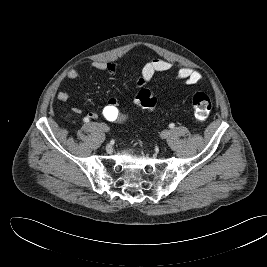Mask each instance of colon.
Wrapping results in <instances>:
<instances>
[{
    "instance_id": "obj_1",
    "label": "colon",
    "mask_w": 267,
    "mask_h": 267,
    "mask_svg": "<svg viewBox=\"0 0 267 267\" xmlns=\"http://www.w3.org/2000/svg\"><path fill=\"white\" fill-rule=\"evenodd\" d=\"M138 106L146 109L153 110L156 107V97L149 89H141L135 99ZM192 107L194 115L198 121H205L212 109V104L209 97L202 93L196 92L192 96ZM100 116L107 122L118 124L125 121V117L122 114L119 104H116L110 100L101 107Z\"/></svg>"
}]
</instances>
